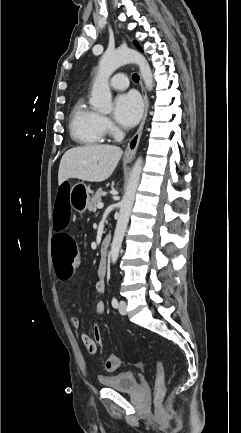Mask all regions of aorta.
I'll return each mask as SVG.
<instances>
[{
	"mask_svg": "<svg viewBox=\"0 0 241 433\" xmlns=\"http://www.w3.org/2000/svg\"><path fill=\"white\" fill-rule=\"evenodd\" d=\"M128 63H136L139 66L141 77L146 88L151 91L153 88L152 70L145 59L139 52L129 49L120 48L114 51H107L99 61L97 77L93 83L90 102L92 106L100 112L109 113L112 109V95L109 88L108 79L112 73ZM143 159L139 157L135 162L130 178L125 190V194L120 202V213L111 244L110 257L112 263H116L122 246L123 238L127 229L131 211L134 205L137 188L139 186Z\"/></svg>",
	"mask_w": 241,
	"mask_h": 433,
	"instance_id": "aorta-1",
	"label": "aorta"
}]
</instances>
